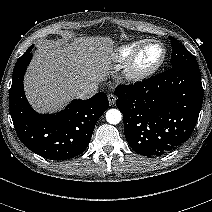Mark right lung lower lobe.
<instances>
[{
  "instance_id": "98d812e1",
  "label": "right lung lower lobe",
  "mask_w": 212,
  "mask_h": 212,
  "mask_svg": "<svg viewBox=\"0 0 212 212\" xmlns=\"http://www.w3.org/2000/svg\"><path fill=\"white\" fill-rule=\"evenodd\" d=\"M31 46L16 62L9 92V110L16 133L32 152L51 160H67L84 152L98 119L108 109L105 93L73 100L56 114H38L27 101L23 79L32 58Z\"/></svg>"
}]
</instances>
